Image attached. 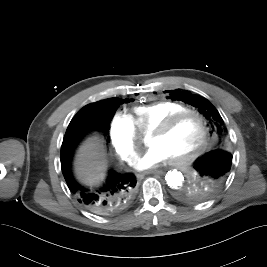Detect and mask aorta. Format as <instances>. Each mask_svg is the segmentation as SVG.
Returning a JSON list of instances; mask_svg holds the SVG:
<instances>
[{"mask_svg":"<svg viewBox=\"0 0 267 267\" xmlns=\"http://www.w3.org/2000/svg\"><path fill=\"white\" fill-rule=\"evenodd\" d=\"M165 180L167 185L172 189L180 188L184 182V176L182 172L173 169L166 173Z\"/></svg>","mask_w":267,"mask_h":267,"instance_id":"1","label":"aorta"}]
</instances>
